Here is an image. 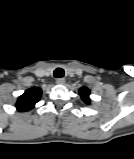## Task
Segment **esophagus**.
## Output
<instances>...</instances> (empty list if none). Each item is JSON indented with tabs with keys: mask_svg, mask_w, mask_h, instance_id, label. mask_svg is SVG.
<instances>
[{
	"mask_svg": "<svg viewBox=\"0 0 134 159\" xmlns=\"http://www.w3.org/2000/svg\"><path fill=\"white\" fill-rule=\"evenodd\" d=\"M56 83H57V84H65V78H58V79L56 80Z\"/></svg>",
	"mask_w": 134,
	"mask_h": 159,
	"instance_id": "esophagus-1",
	"label": "esophagus"
}]
</instances>
